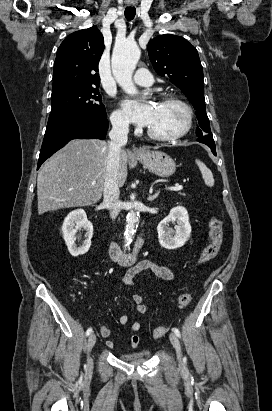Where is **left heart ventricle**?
Wrapping results in <instances>:
<instances>
[{
	"label": "left heart ventricle",
	"instance_id": "1",
	"mask_svg": "<svg viewBox=\"0 0 272 411\" xmlns=\"http://www.w3.org/2000/svg\"><path fill=\"white\" fill-rule=\"evenodd\" d=\"M186 121V112L180 105L160 102L149 128L158 135H174L184 128Z\"/></svg>",
	"mask_w": 272,
	"mask_h": 411
}]
</instances>
